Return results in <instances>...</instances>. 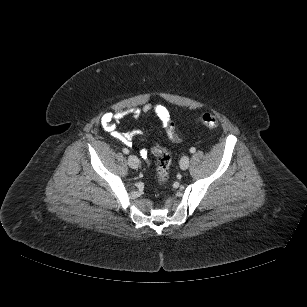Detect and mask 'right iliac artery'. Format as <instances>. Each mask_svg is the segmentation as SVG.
Wrapping results in <instances>:
<instances>
[{
  "label": "right iliac artery",
  "instance_id": "82829eb1",
  "mask_svg": "<svg viewBox=\"0 0 307 307\" xmlns=\"http://www.w3.org/2000/svg\"><path fill=\"white\" fill-rule=\"evenodd\" d=\"M122 151H123L124 154H128L129 153V150L126 149V148H124Z\"/></svg>",
  "mask_w": 307,
  "mask_h": 307
}]
</instances>
